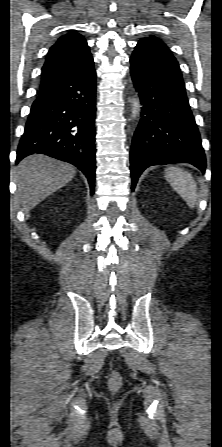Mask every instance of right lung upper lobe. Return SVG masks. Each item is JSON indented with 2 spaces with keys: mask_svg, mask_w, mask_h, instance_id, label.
Returning a JSON list of instances; mask_svg holds the SVG:
<instances>
[{
  "mask_svg": "<svg viewBox=\"0 0 222 447\" xmlns=\"http://www.w3.org/2000/svg\"><path fill=\"white\" fill-rule=\"evenodd\" d=\"M91 58L86 40L76 31L71 30L60 37L47 53L39 95L68 80Z\"/></svg>",
  "mask_w": 222,
  "mask_h": 447,
  "instance_id": "right-lung-upper-lobe-1",
  "label": "right lung upper lobe"
}]
</instances>
